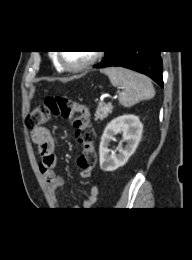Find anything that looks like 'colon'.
Here are the masks:
<instances>
[{"instance_id": "obj_1", "label": "colon", "mask_w": 192, "mask_h": 260, "mask_svg": "<svg viewBox=\"0 0 192 260\" xmlns=\"http://www.w3.org/2000/svg\"><path fill=\"white\" fill-rule=\"evenodd\" d=\"M52 115L73 119L76 137L83 145L78 164L83 169H92L96 160L95 132L87 108L65 96H50L30 113L27 125L33 131L45 125Z\"/></svg>"}]
</instances>
